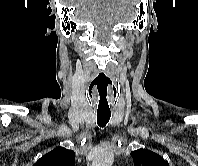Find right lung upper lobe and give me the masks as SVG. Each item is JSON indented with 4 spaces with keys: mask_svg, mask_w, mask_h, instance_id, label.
<instances>
[{
    "mask_svg": "<svg viewBox=\"0 0 198 166\" xmlns=\"http://www.w3.org/2000/svg\"><path fill=\"white\" fill-rule=\"evenodd\" d=\"M34 166H75V153L64 147H57L41 157Z\"/></svg>",
    "mask_w": 198,
    "mask_h": 166,
    "instance_id": "obj_1",
    "label": "right lung upper lobe"
}]
</instances>
